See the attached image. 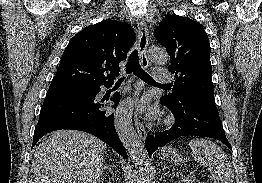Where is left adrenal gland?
I'll return each mask as SVG.
<instances>
[{
    "mask_svg": "<svg viewBox=\"0 0 262 183\" xmlns=\"http://www.w3.org/2000/svg\"><path fill=\"white\" fill-rule=\"evenodd\" d=\"M173 174H174V172H173ZM165 176H169V177L173 178V176H171V174L169 172H166V167L164 166L161 178H164Z\"/></svg>",
    "mask_w": 262,
    "mask_h": 183,
    "instance_id": "a2214340",
    "label": "left adrenal gland"
}]
</instances>
